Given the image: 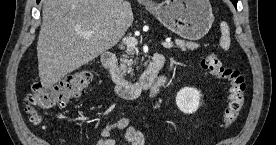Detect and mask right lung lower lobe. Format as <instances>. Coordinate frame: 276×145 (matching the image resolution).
<instances>
[{
	"mask_svg": "<svg viewBox=\"0 0 276 145\" xmlns=\"http://www.w3.org/2000/svg\"><path fill=\"white\" fill-rule=\"evenodd\" d=\"M40 2V0H37V3H39Z\"/></svg>",
	"mask_w": 276,
	"mask_h": 145,
	"instance_id": "98d812e1",
	"label": "right lung lower lobe"
}]
</instances>
